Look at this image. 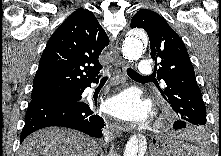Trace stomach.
<instances>
[{"mask_svg":"<svg viewBox=\"0 0 221 156\" xmlns=\"http://www.w3.org/2000/svg\"><path fill=\"white\" fill-rule=\"evenodd\" d=\"M150 156H186V153L174 141L168 140L158 144L151 151Z\"/></svg>","mask_w":221,"mask_h":156,"instance_id":"obj_1","label":"stomach"}]
</instances>
